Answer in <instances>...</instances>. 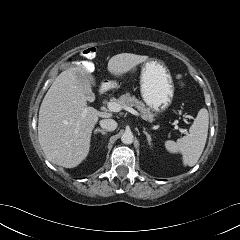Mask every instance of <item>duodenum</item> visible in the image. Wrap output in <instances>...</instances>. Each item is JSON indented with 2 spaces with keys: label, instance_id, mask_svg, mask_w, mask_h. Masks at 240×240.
<instances>
[{
  "label": "duodenum",
  "instance_id": "1",
  "mask_svg": "<svg viewBox=\"0 0 240 240\" xmlns=\"http://www.w3.org/2000/svg\"><path fill=\"white\" fill-rule=\"evenodd\" d=\"M108 90V85L106 83L100 85L99 89H98V92L100 95H103L107 92Z\"/></svg>",
  "mask_w": 240,
  "mask_h": 240
}]
</instances>
